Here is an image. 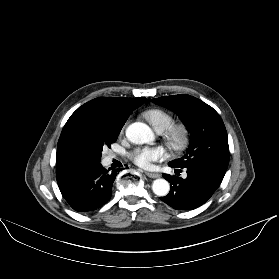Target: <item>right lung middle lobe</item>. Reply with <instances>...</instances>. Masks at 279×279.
<instances>
[{
    "instance_id": "1",
    "label": "right lung middle lobe",
    "mask_w": 279,
    "mask_h": 279,
    "mask_svg": "<svg viewBox=\"0 0 279 279\" xmlns=\"http://www.w3.org/2000/svg\"><path fill=\"white\" fill-rule=\"evenodd\" d=\"M121 129L95 127L86 131L78 140L76 148L80 161L85 163H99L103 146L114 143Z\"/></svg>"
}]
</instances>
